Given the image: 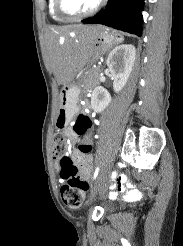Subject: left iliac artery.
<instances>
[{"label": "left iliac artery", "mask_w": 183, "mask_h": 246, "mask_svg": "<svg viewBox=\"0 0 183 246\" xmlns=\"http://www.w3.org/2000/svg\"><path fill=\"white\" fill-rule=\"evenodd\" d=\"M99 173V166L96 167L95 172H94V179L98 176Z\"/></svg>", "instance_id": "1"}]
</instances>
